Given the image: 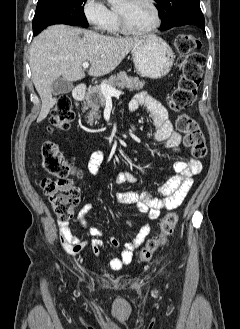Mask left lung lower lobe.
I'll return each mask as SVG.
<instances>
[{"label":"left lung lower lobe","instance_id":"obj_1","mask_svg":"<svg viewBox=\"0 0 240 329\" xmlns=\"http://www.w3.org/2000/svg\"><path fill=\"white\" fill-rule=\"evenodd\" d=\"M188 24L196 25V26L200 27L202 30L205 31V24H197V23H182V24H177V25H175V26H182V25H188ZM175 26H173V27H175Z\"/></svg>","mask_w":240,"mask_h":329}]
</instances>
